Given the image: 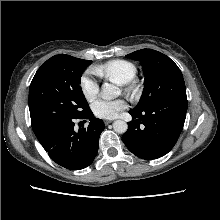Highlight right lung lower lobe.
<instances>
[{
  "instance_id": "obj_1",
  "label": "right lung lower lobe",
  "mask_w": 220,
  "mask_h": 220,
  "mask_svg": "<svg viewBox=\"0 0 220 220\" xmlns=\"http://www.w3.org/2000/svg\"><path fill=\"white\" fill-rule=\"evenodd\" d=\"M75 119H89L90 122L86 129L75 131ZM104 128L103 121L93 118L89 109L77 117L61 119L35 135L54 162L70 170H80L93 162Z\"/></svg>"
}]
</instances>
